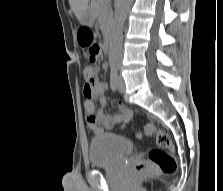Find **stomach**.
<instances>
[{"label": "stomach", "mask_w": 223, "mask_h": 191, "mask_svg": "<svg viewBox=\"0 0 223 191\" xmlns=\"http://www.w3.org/2000/svg\"><path fill=\"white\" fill-rule=\"evenodd\" d=\"M94 21H95V14L91 10V8L88 7L82 14L80 22L81 24L88 26V25H92Z\"/></svg>", "instance_id": "stomach-1"}]
</instances>
